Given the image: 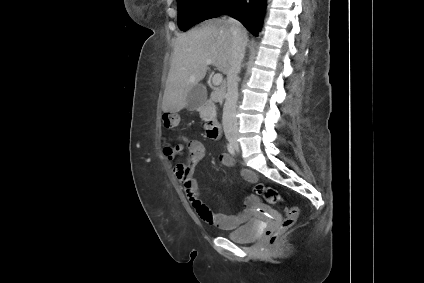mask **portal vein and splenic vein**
<instances>
[{"label":"portal vein and splenic vein","instance_id":"18ae733b","mask_svg":"<svg viewBox=\"0 0 424 283\" xmlns=\"http://www.w3.org/2000/svg\"><path fill=\"white\" fill-rule=\"evenodd\" d=\"M206 63L208 65H210V64H212V61L211 60H207ZM222 81H223V76H222L221 73H215L213 75V77H212V83H213L214 86L221 85Z\"/></svg>","mask_w":424,"mask_h":283}]
</instances>
